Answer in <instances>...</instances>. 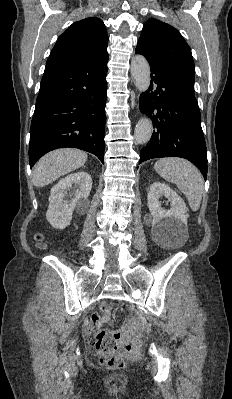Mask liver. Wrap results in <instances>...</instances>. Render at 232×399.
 Segmentation results:
<instances>
[{"label": "liver", "instance_id": "6515ba94", "mask_svg": "<svg viewBox=\"0 0 232 399\" xmlns=\"http://www.w3.org/2000/svg\"><path fill=\"white\" fill-rule=\"evenodd\" d=\"M87 162V154L81 150H72V148H63V150H54L43 156L32 172L34 186L43 188L52 184L61 176H66L69 172H74L82 168Z\"/></svg>", "mask_w": 232, "mask_h": 399}]
</instances>
